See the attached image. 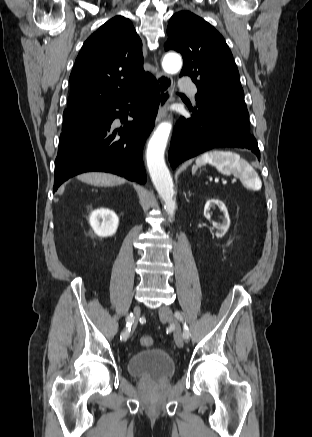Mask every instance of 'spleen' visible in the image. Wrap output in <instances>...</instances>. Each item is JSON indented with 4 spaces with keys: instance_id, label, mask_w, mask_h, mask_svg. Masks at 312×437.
I'll use <instances>...</instances> for the list:
<instances>
[{
    "instance_id": "1",
    "label": "spleen",
    "mask_w": 312,
    "mask_h": 437,
    "mask_svg": "<svg viewBox=\"0 0 312 437\" xmlns=\"http://www.w3.org/2000/svg\"><path fill=\"white\" fill-rule=\"evenodd\" d=\"M211 164L224 175L233 174L246 181L250 188L259 190L261 181L253 168L240 156L231 151H210L206 152L196 159V165L193 167V173L197 167L203 164Z\"/></svg>"
}]
</instances>
